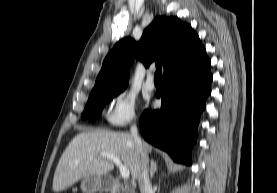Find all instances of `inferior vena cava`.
Here are the masks:
<instances>
[{
  "label": "inferior vena cava",
  "instance_id": "602c4592",
  "mask_svg": "<svg viewBox=\"0 0 277 193\" xmlns=\"http://www.w3.org/2000/svg\"><path fill=\"white\" fill-rule=\"evenodd\" d=\"M130 132L134 140L137 142L140 148L141 152V171L137 177L140 193H153L152 191V185L149 180V174H148V157L144 150L143 144L141 142V139L138 136V130L135 124H133L130 128Z\"/></svg>",
  "mask_w": 277,
  "mask_h": 193
}]
</instances>
